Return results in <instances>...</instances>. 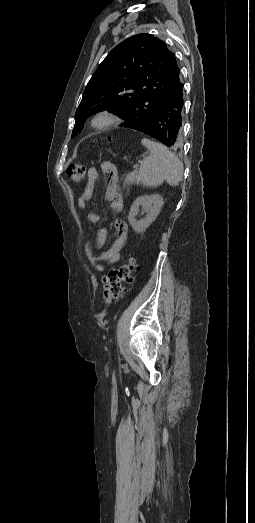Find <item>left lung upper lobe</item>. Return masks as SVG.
<instances>
[{
	"label": "left lung upper lobe",
	"instance_id": "5c2ea615",
	"mask_svg": "<svg viewBox=\"0 0 255 523\" xmlns=\"http://www.w3.org/2000/svg\"><path fill=\"white\" fill-rule=\"evenodd\" d=\"M179 72L174 53L160 39L146 33L126 39L111 50L88 82L71 137L83 129L89 116L107 108L125 116L122 127L150 121L169 101L172 90L183 87Z\"/></svg>",
	"mask_w": 255,
	"mask_h": 523
}]
</instances>
